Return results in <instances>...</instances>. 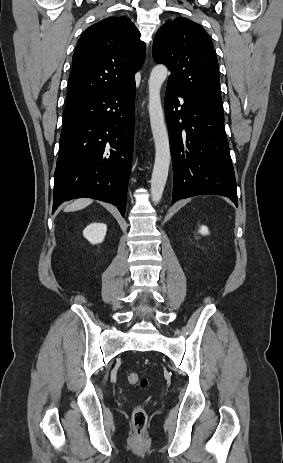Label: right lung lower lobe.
<instances>
[{"label": "right lung lower lobe", "mask_w": 283, "mask_h": 463, "mask_svg": "<svg viewBox=\"0 0 283 463\" xmlns=\"http://www.w3.org/2000/svg\"><path fill=\"white\" fill-rule=\"evenodd\" d=\"M134 126L135 82L65 108L53 212L64 201L90 197L125 215Z\"/></svg>", "instance_id": "1"}]
</instances>
